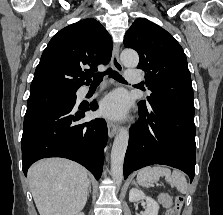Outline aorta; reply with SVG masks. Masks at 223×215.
I'll return each mask as SVG.
<instances>
[{"mask_svg":"<svg viewBox=\"0 0 223 215\" xmlns=\"http://www.w3.org/2000/svg\"><path fill=\"white\" fill-rule=\"evenodd\" d=\"M121 62L125 68H137L139 56L134 50H123ZM129 139V131L126 127L119 129L111 149V175L113 181L120 185L123 179V161Z\"/></svg>","mask_w":223,"mask_h":215,"instance_id":"762f6f07","label":"aorta"}]
</instances>
